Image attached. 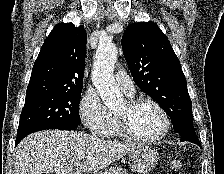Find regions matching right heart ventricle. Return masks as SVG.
<instances>
[{"label":"right heart ventricle","instance_id":"obj_1","mask_svg":"<svg viewBox=\"0 0 224 174\" xmlns=\"http://www.w3.org/2000/svg\"><path fill=\"white\" fill-rule=\"evenodd\" d=\"M106 136H109V137H118V136H120V133H119V130L117 128V124H116V121H115L114 118H113L112 128H111V130L109 131V133Z\"/></svg>","mask_w":224,"mask_h":174}]
</instances>
